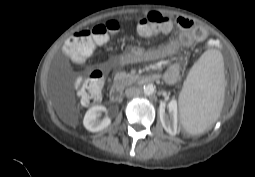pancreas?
Returning <instances> with one entry per match:
<instances>
[{"instance_id": "obj_1", "label": "pancreas", "mask_w": 255, "mask_h": 177, "mask_svg": "<svg viewBox=\"0 0 255 177\" xmlns=\"http://www.w3.org/2000/svg\"><path fill=\"white\" fill-rule=\"evenodd\" d=\"M138 75L126 72H118L114 77V81L122 86H127L136 81Z\"/></svg>"}]
</instances>
